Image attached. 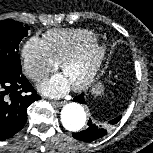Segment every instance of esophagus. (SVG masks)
I'll list each match as a JSON object with an SVG mask.
<instances>
[{
  "label": "esophagus",
  "mask_w": 153,
  "mask_h": 153,
  "mask_svg": "<svg viewBox=\"0 0 153 153\" xmlns=\"http://www.w3.org/2000/svg\"><path fill=\"white\" fill-rule=\"evenodd\" d=\"M52 104L54 106H57V107H62L65 104V102H63V101H53Z\"/></svg>",
  "instance_id": "34e87169"
}]
</instances>
